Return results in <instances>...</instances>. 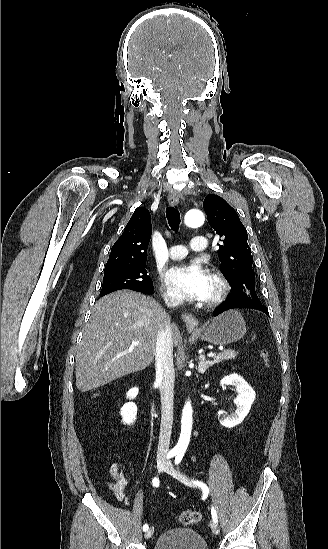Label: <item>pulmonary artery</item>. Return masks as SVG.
<instances>
[{
    "mask_svg": "<svg viewBox=\"0 0 328 549\" xmlns=\"http://www.w3.org/2000/svg\"><path fill=\"white\" fill-rule=\"evenodd\" d=\"M187 244L194 252H206L209 250L210 245L206 241H201L199 237H190ZM189 250L186 246H175L173 250L169 251L168 255L171 259L178 260L186 257Z\"/></svg>",
    "mask_w": 328,
    "mask_h": 549,
    "instance_id": "e3ab8cb5",
    "label": "pulmonary artery"
}]
</instances>
